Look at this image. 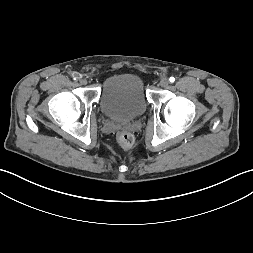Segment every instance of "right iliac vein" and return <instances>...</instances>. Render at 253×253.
I'll return each instance as SVG.
<instances>
[{"mask_svg":"<svg viewBox=\"0 0 253 253\" xmlns=\"http://www.w3.org/2000/svg\"><path fill=\"white\" fill-rule=\"evenodd\" d=\"M80 83H81L82 85H86V84H87V80H86V79H81V80H80Z\"/></svg>","mask_w":253,"mask_h":253,"instance_id":"obj_1","label":"right iliac vein"}]
</instances>
